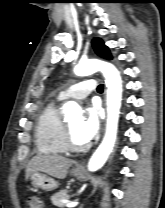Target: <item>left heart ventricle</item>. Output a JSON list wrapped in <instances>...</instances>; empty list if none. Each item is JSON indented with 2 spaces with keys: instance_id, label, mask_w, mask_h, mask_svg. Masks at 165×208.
Here are the masks:
<instances>
[{
  "instance_id": "1",
  "label": "left heart ventricle",
  "mask_w": 165,
  "mask_h": 208,
  "mask_svg": "<svg viewBox=\"0 0 165 208\" xmlns=\"http://www.w3.org/2000/svg\"><path fill=\"white\" fill-rule=\"evenodd\" d=\"M81 121L82 120H81L80 117H74V118L69 119L68 122H67V124L70 128V131H71L72 138H73L74 142L79 144V145L85 144L78 135V129H79Z\"/></svg>"
}]
</instances>
